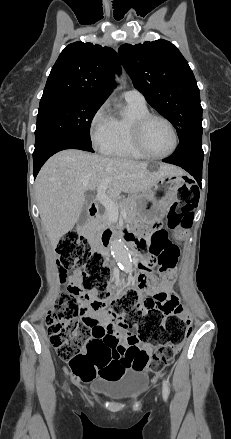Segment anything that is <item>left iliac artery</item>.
<instances>
[{
    "label": "left iliac artery",
    "mask_w": 231,
    "mask_h": 439,
    "mask_svg": "<svg viewBox=\"0 0 231 439\" xmlns=\"http://www.w3.org/2000/svg\"><path fill=\"white\" fill-rule=\"evenodd\" d=\"M169 386H168V381L167 380H163V399L166 401L168 399L169 396Z\"/></svg>",
    "instance_id": "44dca946"
}]
</instances>
